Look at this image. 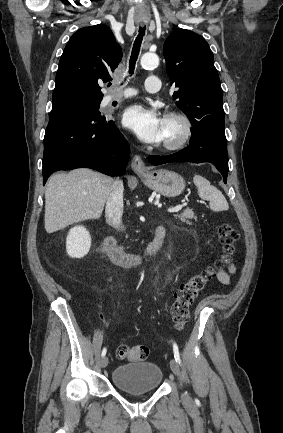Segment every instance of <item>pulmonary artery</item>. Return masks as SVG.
Masks as SVG:
<instances>
[{
    "label": "pulmonary artery",
    "mask_w": 283,
    "mask_h": 433,
    "mask_svg": "<svg viewBox=\"0 0 283 433\" xmlns=\"http://www.w3.org/2000/svg\"><path fill=\"white\" fill-rule=\"evenodd\" d=\"M142 85L146 92H158L161 85L162 80L158 78L157 72H148L147 78L142 80ZM132 95H139V90H128V95H114L109 97V102L119 101L122 99H126L132 97Z\"/></svg>",
    "instance_id": "obj_1"
}]
</instances>
